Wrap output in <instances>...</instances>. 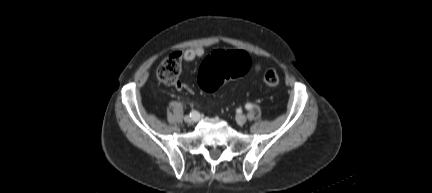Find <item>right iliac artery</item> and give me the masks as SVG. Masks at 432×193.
Instances as JSON below:
<instances>
[{
    "label": "right iliac artery",
    "instance_id": "1",
    "mask_svg": "<svg viewBox=\"0 0 432 193\" xmlns=\"http://www.w3.org/2000/svg\"><path fill=\"white\" fill-rule=\"evenodd\" d=\"M198 113L196 112V111H192L191 113H190V117H193V116H195V115H197Z\"/></svg>",
    "mask_w": 432,
    "mask_h": 193
}]
</instances>
